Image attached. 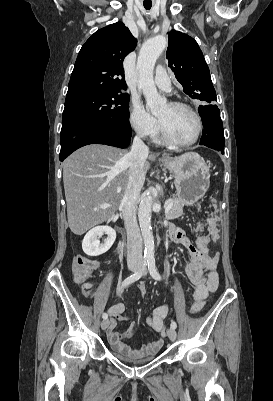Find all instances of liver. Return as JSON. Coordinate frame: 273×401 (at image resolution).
Returning a JSON list of instances; mask_svg holds the SVG:
<instances>
[{"instance_id": "obj_1", "label": "liver", "mask_w": 273, "mask_h": 401, "mask_svg": "<svg viewBox=\"0 0 273 401\" xmlns=\"http://www.w3.org/2000/svg\"><path fill=\"white\" fill-rule=\"evenodd\" d=\"M128 150L87 144L75 150L63 162V182L68 225L74 235H83L95 225L113 217L119 209L128 182ZM157 154H149L155 160ZM150 162L145 160L147 172ZM109 203L111 207L100 209Z\"/></svg>"}]
</instances>
